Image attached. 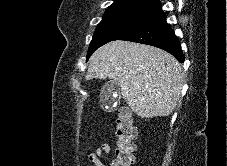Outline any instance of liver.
<instances>
[{
	"label": "liver",
	"instance_id": "6515ba94",
	"mask_svg": "<svg viewBox=\"0 0 227 166\" xmlns=\"http://www.w3.org/2000/svg\"><path fill=\"white\" fill-rule=\"evenodd\" d=\"M86 80L110 78L122 97L142 118L170 115L180 100V63L166 51L127 41H112L89 59Z\"/></svg>",
	"mask_w": 227,
	"mask_h": 166
}]
</instances>
